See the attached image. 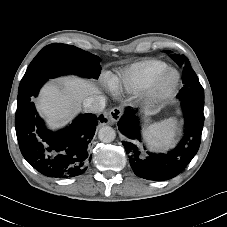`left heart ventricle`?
<instances>
[{
	"label": "left heart ventricle",
	"instance_id": "b2bd125f",
	"mask_svg": "<svg viewBox=\"0 0 227 227\" xmlns=\"http://www.w3.org/2000/svg\"><path fill=\"white\" fill-rule=\"evenodd\" d=\"M173 78H174V75H173V74H169V75L166 77L165 81H166L167 83H169V82H171V81L173 80Z\"/></svg>",
	"mask_w": 227,
	"mask_h": 227
}]
</instances>
